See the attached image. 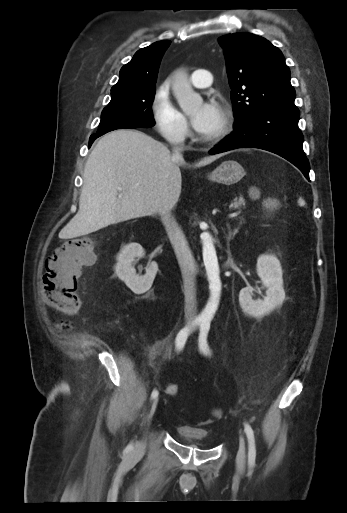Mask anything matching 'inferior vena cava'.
Returning <instances> with one entry per match:
<instances>
[{"label":"inferior vena cava","instance_id":"obj_1","mask_svg":"<svg viewBox=\"0 0 347 513\" xmlns=\"http://www.w3.org/2000/svg\"><path fill=\"white\" fill-rule=\"evenodd\" d=\"M181 151L182 148L178 146L173 148V158L175 160L183 159ZM176 201L177 198L172 195V192H164L158 200V211L163 224L167 228L170 242L181 268L185 295V313L186 316L194 319L196 318V265L187 240L171 215Z\"/></svg>","mask_w":347,"mask_h":513}]
</instances>
